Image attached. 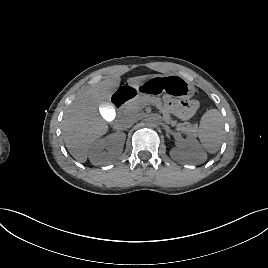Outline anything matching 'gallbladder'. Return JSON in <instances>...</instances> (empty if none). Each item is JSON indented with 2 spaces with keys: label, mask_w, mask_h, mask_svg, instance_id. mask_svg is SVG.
Returning a JSON list of instances; mask_svg holds the SVG:
<instances>
[{
  "label": "gallbladder",
  "mask_w": 268,
  "mask_h": 268,
  "mask_svg": "<svg viewBox=\"0 0 268 268\" xmlns=\"http://www.w3.org/2000/svg\"><path fill=\"white\" fill-rule=\"evenodd\" d=\"M97 110L106 121H113L116 118V111L111 103L103 101L99 103Z\"/></svg>",
  "instance_id": "bac80fb5"
}]
</instances>
